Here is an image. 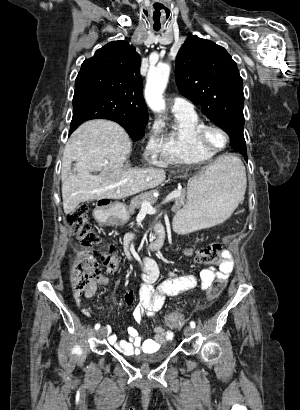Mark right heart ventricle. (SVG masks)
I'll use <instances>...</instances> for the list:
<instances>
[{
    "mask_svg": "<svg viewBox=\"0 0 300 410\" xmlns=\"http://www.w3.org/2000/svg\"><path fill=\"white\" fill-rule=\"evenodd\" d=\"M174 124L163 137L161 163L198 164L209 161L214 153L203 149L197 134L203 120L195 111L173 112Z\"/></svg>",
    "mask_w": 300,
    "mask_h": 410,
    "instance_id": "e07e8e85",
    "label": "right heart ventricle"
}]
</instances>
